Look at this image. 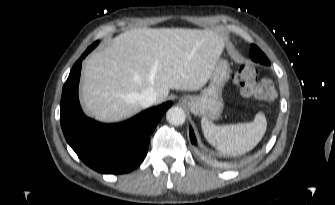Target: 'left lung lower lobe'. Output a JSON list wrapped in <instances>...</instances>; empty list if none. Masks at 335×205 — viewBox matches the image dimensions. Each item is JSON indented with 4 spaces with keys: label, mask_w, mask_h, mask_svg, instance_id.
Wrapping results in <instances>:
<instances>
[{
    "label": "left lung lower lobe",
    "mask_w": 335,
    "mask_h": 205,
    "mask_svg": "<svg viewBox=\"0 0 335 205\" xmlns=\"http://www.w3.org/2000/svg\"><path fill=\"white\" fill-rule=\"evenodd\" d=\"M190 139H191V142L196 145V138H195L192 128H190Z\"/></svg>",
    "instance_id": "obj_1"
}]
</instances>
